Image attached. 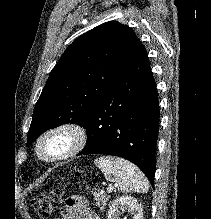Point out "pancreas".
Wrapping results in <instances>:
<instances>
[{
	"label": "pancreas",
	"instance_id": "1",
	"mask_svg": "<svg viewBox=\"0 0 211 219\" xmlns=\"http://www.w3.org/2000/svg\"><path fill=\"white\" fill-rule=\"evenodd\" d=\"M93 196H94V199L96 201V206L101 211H104L105 205H106L107 201L109 200V197L106 195H103L102 193L97 192V191L93 192Z\"/></svg>",
	"mask_w": 211,
	"mask_h": 219
}]
</instances>
